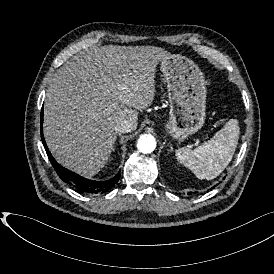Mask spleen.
Instances as JSON below:
<instances>
[{
    "label": "spleen",
    "mask_w": 274,
    "mask_h": 274,
    "mask_svg": "<svg viewBox=\"0 0 274 274\" xmlns=\"http://www.w3.org/2000/svg\"><path fill=\"white\" fill-rule=\"evenodd\" d=\"M239 127L230 119L208 141L192 149L175 151L177 160L199 179L215 178L231 161L238 142Z\"/></svg>",
    "instance_id": "3e777b00"
}]
</instances>
